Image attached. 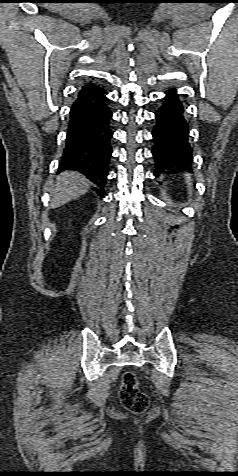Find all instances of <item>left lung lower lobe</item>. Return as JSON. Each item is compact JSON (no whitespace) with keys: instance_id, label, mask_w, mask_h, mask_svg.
Returning <instances> with one entry per match:
<instances>
[{"instance_id":"0a47b994","label":"left lung lower lobe","mask_w":238,"mask_h":476,"mask_svg":"<svg viewBox=\"0 0 238 476\" xmlns=\"http://www.w3.org/2000/svg\"><path fill=\"white\" fill-rule=\"evenodd\" d=\"M166 94L162 105L155 112L156 124L152 130L155 176L175 170L189 171L193 161L184 106L175 91Z\"/></svg>"}]
</instances>
